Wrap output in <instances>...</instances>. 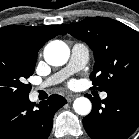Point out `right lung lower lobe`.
Listing matches in <instances>:
<instances>
[{
	"instance_id": "obj_1",
	"label": "right lung lower lobe",
	"mask_w": 139,
	"mask_h": 139,
	"mask_svg": "<svg viewBox=\"0 0 139 139\" xmlns=\"http://www.w3.org/2000/svg\"><path fill=\"white\" fill-rule=\"evenodd\" d=\"M67 101L51 95L35 104L26 98H0V139H47L53 116Z\"/></svg>"
}]
</instances>
